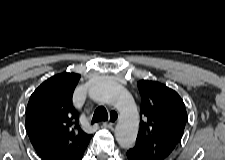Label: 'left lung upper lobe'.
<instances>
[{
    "instance_id": "5c2ea615",
    "label": "left lung upper lobe",
    "mask_w": 225,
    "mask_h": 160,
    "mask_svg": "<svg viewBox=\"0 0 225 160\" xmlns=\"http://www.w3.org/2000/svg\"><path fill=\"white\" fill-rule=\"evenodd\" d=\"M138 88L142 98L141 119L133 149L152 160H164L183 136L185 105L177 92L159 82L141 80Z\"/></svg>"
}]
</instances>
